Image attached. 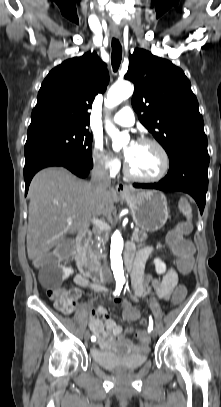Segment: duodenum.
Listing matches in <instances>:
<instances>
[{
	"mask_svg": "<svg viewBox=\"0 0 221 407\" xmlns=\"http://www.w3.org/2000/svg\"><path fill=\"white\" fill-rule=\"evenodd\" d=\"M88 232H80L76 238V255L75 259L82 275L91 278L94 282H103L105 280L104 273L91 260L87 254ZM133 251L127 250L125 254V263L128 270L132 269Z\"/></svg>",
	"mask_w": 221,
	"mask_h": 407,
	"instance_id": "obj_1",
	"label": "duodenum"
}]
</instances>
